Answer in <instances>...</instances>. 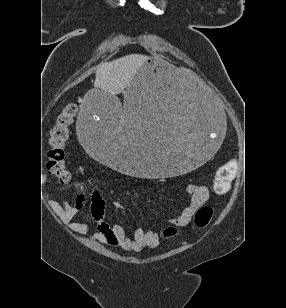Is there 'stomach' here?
Here are the masks:
<instances>
[{
  "mask_svg": "<svg viewBox=\"0 0 286 308\" xmlns=\"http://www.w3.org/2000/svg\"><path fill=\"white\" fill-rule=\"evenodd\" d=\"M124 103L107 89H86L75 124L88 156L141 181L164 182L203 168L225 144L221 100L197 81H185L168 60H141Z\"/></svg>",
  "mask_w": 286,
  "mask_h": 308,
  "instance_id": "1",
  "label": "stomach"
}]
</instances>
